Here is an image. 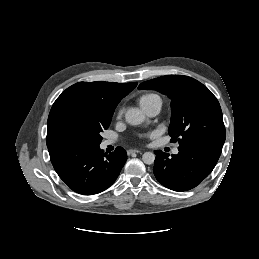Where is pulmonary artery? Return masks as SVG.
Returning <instances> with one entry per match:
<instances>
[{"mask_svg": "<svg viewBox=\"0 0 259 259\" xmlns=\"http://www.w3.org/2000/svg\"><path fill=\"white\" fill-rule=\"evenodd\" d=\"M160 109H161V104L159 103H154V104H151L147 107H145L143 110L145 111V113L150 116V117H154L156 116L159 112H160ZM113 141L112 140H106L104 142V145H109V144H112ZM179 151L177 148H174L173 149V153L174 154H177Z\"/></svg>", "mask_w": 259, "mask_h": 259, "instance_id": "e3ab8cb5", "label": "pulmonary artery"}]
</instances>
